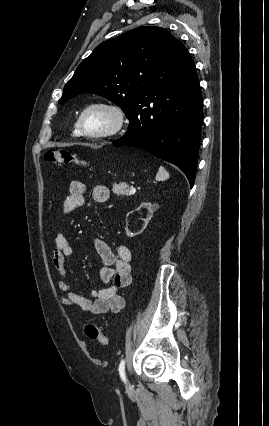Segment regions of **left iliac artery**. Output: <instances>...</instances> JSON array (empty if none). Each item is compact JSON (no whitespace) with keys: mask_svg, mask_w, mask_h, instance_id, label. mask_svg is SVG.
<instances>
[{"mask_svg":"<svg viewBox=\"0 0 269 426\" xmlns=\"http://www.w3.org/2000/svg\"><path fill=\"white\" fill-rule=\"evenodd\" d=\"M118 370H119V374H120V377H121L122 381L126 382V377H125V360L124 359L121 360V362L119 364V369Z\"/></svg>","mask_w":269,"mask_h":426,"instance_id":"44dca946","label":"left iliac artery"}]
</instances>
